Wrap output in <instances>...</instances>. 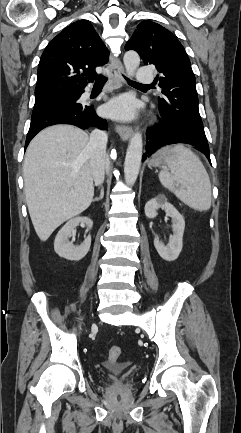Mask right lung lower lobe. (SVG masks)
<instances>
[{
	"label": "right lung lower lobe",
	"instance_id": "obj_1",
	"mask_svg": "<svg viewBox=\"0 0 241 433\" xmlns=\"http://www.w3.org/2000/svg\"><path fill=\"white\" fill-rule=\"evenodd\" d=\"M76 92L81 95L83 90H77ZM54 124H72L81 129L92 126L99 129L107 128L106 120L97 116L92 105H82L76 101L54 107L33 117L27 134L25 149L39 131Z\"/></svg>",
	"mask_w": 241,
	"mask_h": 433
}]
</instances>
